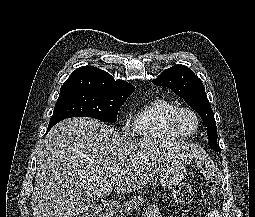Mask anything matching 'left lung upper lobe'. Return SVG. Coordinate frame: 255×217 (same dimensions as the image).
<instances>
[{
	"label": "left lung upper lobe",
	"instance_id": "5c2ea615",
	"mask_svg": "<svg viewBox=\"0 0 255 217\" xmlns=\"http://www.w3.org/2000/svg\"><path fill=\"white\" fill-rule=\"evenodd\" d=\"M156 86L171 89L191 106L207 127V139L211 148L221 151L217 144V130L214 114L207 99L202 81L185 65H174L152 80Z\"/></svg>",
	"mask_w": 255,
	"mask_h": 217
}]
</instances>
